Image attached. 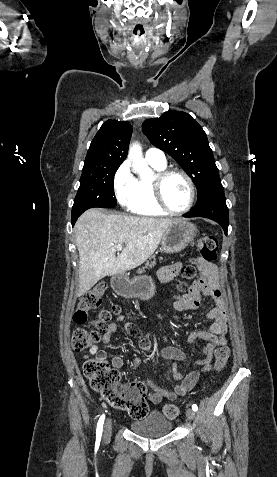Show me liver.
Returning a JSON list of instances; mask_svg holds the SVG:
<instances>
[{"label":"liver","mask_w":277,"mask_h":477,"mask_svg":"<svg viewBox=\"0 0 277 477\" xmlns=\"http://www.w3.org/2000/svg\"><path fill=\"white\" fill-rule=\"evenodd\" d=\"M175 219L84 212L75 224L79 251V290L84 295L105 276L120 274L143 264L157 249ZM126 247L115 256L116 246Z\"/></svg>","instance_id":"obj_1"}]
</instances>
